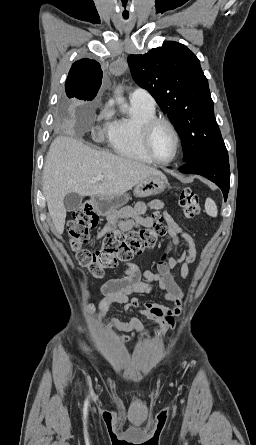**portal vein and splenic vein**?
<instances>
[{
	"label": "portal vein and splenic vein",
	"instance_id": "portal-vein-and-splenic-vein-1",
	"mask_svg": "<svg viewBox=\"0 0 256 445\" xmlns=\"http://www.w3.org/2000/svg\"><path fill=\"white\" fill-rule=\"evenodd\" d=\"M104 176L103 175H99L95 178V181H101L103 180Z\"/></svg>",
	"mask_w": 256,
	"mask_h": 445
}]
</instances>
